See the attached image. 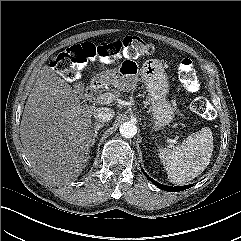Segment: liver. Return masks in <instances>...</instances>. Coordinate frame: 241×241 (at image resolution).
<instances>
[{"mask_svg":"<svg viewBox=\"0 0 241 241\" xmlns=\"http://www.w3.org/2000/svg\"><path fill=\"white\" fill-rule=\"evenodd\" d=\"M78 94L76 85L72 87L46 65L23 111L20 137L24 153L50 184L78 178L90 158L91 117L96 107L81 104Z\"/></svg>","mask_w":241,"mask_h":241,"instance_id":"liver-1","label":"liver"}]
</instances>
